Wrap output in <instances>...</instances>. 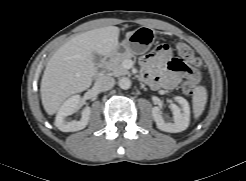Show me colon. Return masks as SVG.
Instances as JSON below:
<instances>
[{
    "mask_svg": "<svg viewBox=\"0 0 246 181\" xmlns=\"http://www.w3.org/2000/svg\"><path fill=\"white\" fill-rule=\"evenodd\" d=\"M176 51L186 61L188 76L182 86V90L187 95H192L195 92L196 84L200 79V59L194 54L193 50L185 43H177Z\"/></svg>",
    "mask_w": 246,
    "mask_h": 181,
    "instance_id": "5ec220e1",
    "label": "colon"
}]
</instances>
